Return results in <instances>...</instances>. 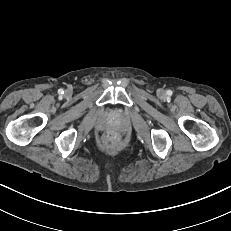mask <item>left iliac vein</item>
I'll list each match as a JSON object with an SVG mask.
<instances>
[{
  "mask_svg": "<svg viewBox=\"0 0 231 231\" xmlns=\"http://www.w3.org/2000/svg\"><path fill=\"white\" fill-rule=\"evenodd\" d=\"M157 94H158V96H160V97H164V96H165V92H164V90H162V89H159V90L157 91Z\"/></svg>",
  "mask_w": 231,
  "mask_h": 231,
  "instance_id": "4c4485c4",
  "label": "left iliac vein"
}]
</instances>
